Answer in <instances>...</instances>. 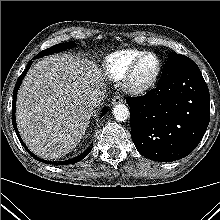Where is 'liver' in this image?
Listing matches in <instances>:
<instances>
[{
    "instance_id": "obj_1",
    "label": "liver",
    "mask_w": 220,
    "mask_h": 220,
    "mask_svg": "<svg viewBox=\"0 0 220 220\" xmlns=\"http://www.w3.org/2000/svg\"><path fill=\"white\" fill-rule=\"evenodd\" d=\"M97 66L55 54L34 64L17 95L16 122L26 146L43 159H57L80 142L94 113L89 96L103 88Z\"/></svg>"
}]
</instances>
